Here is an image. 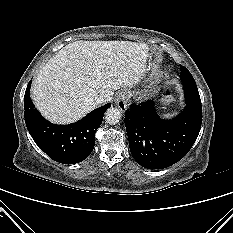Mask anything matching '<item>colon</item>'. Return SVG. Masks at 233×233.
<instances>
[{"instance_id":"obj_1","label":"colon","mask_w":233,"mask_h":233,"mask_svg":"<svg viewBox=\"0 0 233 233\" xmlns=\"http://www.w3.org/2000/svg\"><path fill=\"white\" fill-rule=\"evenodd\" d=\"M164 96L166 98V100L170 101L173 99V94L170 90H165L164 91Z\"/></svg>"}]
</instances>
